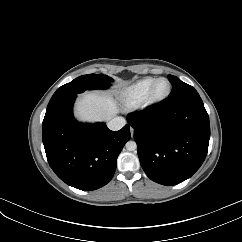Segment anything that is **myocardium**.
<instances>
[{"label": "myocardium", "mask_w": 242, "mask_h": 242, "mask_svg": "<svg viewBox=\"0 0 242 242\" xmlns=\"http://www.w3.org/2000/svg\"><path fill=\"white\" fill-rule=\"evenodd\" d=\"M165 80L168 83V91L165 95L161 96V97H157L155 96V87L158 84V82ZM172 93V84L169 81V79L165 78V77H160L154 80V82L152 83L148 94L144 100L145 106L147 107H156L159 106L161 104H163L171 95Z\"/></svg>", "instance_id": "1"}]
</instances>
